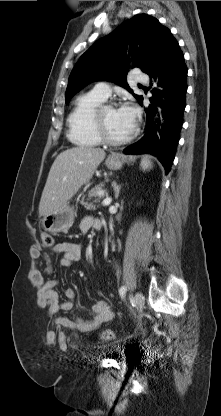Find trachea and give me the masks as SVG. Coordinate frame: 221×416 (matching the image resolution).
<instances>
[{
    "instance_id": "3493384b",
    "label": "trachea",
    "mask_w": 221,
    "mask_h": 416,
    "mask_svg": "<svg viewBox=\"0 0 221 416\" xmlns=\"http://www.w3.org/2000/svg\"><path fill=\"white\" fill-rule=\"evenodd\" d=\"M138 86H139V87H142V85H141V84H139Z\"/></svg>"
}]
</instances>
